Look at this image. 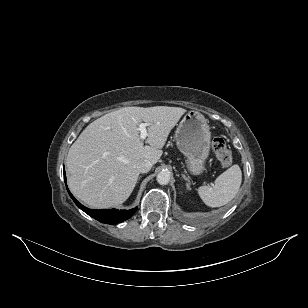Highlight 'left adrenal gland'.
<instances>
[{
    "instance_id": "a2214340",
    "label": "left adrenal gland",
    "mask_w": 308,
    "mask_h": 308,
    "mask_svg": "<svg viewBox=\"0 0 308 308\" xmlns=\"http://www.w3.org/2000/svg\"><path fill=\"white\" fill-rule=\"evenodd\" d=\"M182 177L187 181V183H186V188H187V190H191L189 178L186 177L184 174H182Z\"/></svg>"
}]
</instances>
